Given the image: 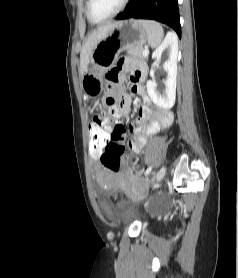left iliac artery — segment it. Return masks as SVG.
<instances>
[{
	"instance_id": "left-iliac-artery-1",
	"label": "left iliac artery",
	"mask_w": 238,
	"mask_h": 278,
	"mask_svg": "<svg viewBox=\"0 0 238 278\" xmlns=\"http://www.w3.org/2000/svg\"><path fill=\"white\" fill-rule=\"evenodd\" d=\"M151 170H152V166H149L145 171V176H147L151 172Z\"/></svg>"
}]
</instances>
